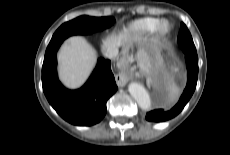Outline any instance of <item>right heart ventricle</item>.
<instances>
[{"instance_id":"right-heart-ventricle-1","label":"right heart ventricle","mask_w":230,"mask_h":155,"mask_svg":"<svg viewBox=\"0 0 230 155\" xmlns=\"http://www.w3.org/2000/svg\"><path fill=\"white\" fill-rule=\"evenodd\" d=\"M158 19L155 17H144L131 22L125 32L131 36H141L152 32Z\"/></svg>"}]
</instances>
